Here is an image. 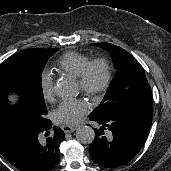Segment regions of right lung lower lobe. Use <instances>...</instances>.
<instances>
[{
  "label": "right lung lower lobe",
  "mask_w": 171,
  "mask_h": 171,
  "mask_svg": "<svg viewBox=\"0 0 171 171\" xmlns=\"http://www.w3.org/2000/svg\"><path fill=\"white\" fill-rule=\"evenodd\" d=\"M46 119L38 129L34 130L4 157L21 171H51L59 162V145L63 141L64 132ZM50 136L45 142L40 137Z\"/></svg>",
  "instance_id": "98d812e1"
}]
</instances>
